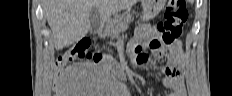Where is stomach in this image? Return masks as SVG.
Instances as JSON below:
<instances>
[{
  "label": "stomach",
  "mask_w": 232,
  "mask_h": 96,
  "mask_svg": "<svg viewBox=\"0 0 232 96\" xmlns=\"http://www.w3.org/2000/svg\"><path fill=\"white\" fill-rule=\"evenodd\" d=\"M166 3V0H143V21H149L158 15Z\"/></svg>",
  "instance_id": "1"
}]
</instances>
